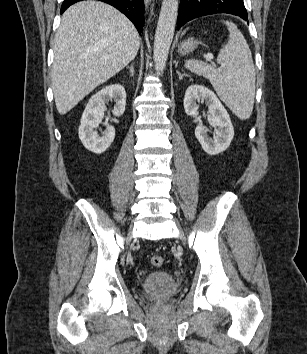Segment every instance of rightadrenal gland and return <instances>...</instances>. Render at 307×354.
I'll return each mask as SVG.
<instances>
[{"label":"right adrenal gland","mask_w":307,"mask_h":354,"mask_svg":"<svg viewBox=\"0 0 307 354\" xmlns=\"http://www.w3.org/2000/svg\"><path fill=\"white\" fill-rule=\"evenodd\" d=\"M128 68L130 69L131 76H134V63H131V65L128 66Z\"/></svg>","instance_id":"1"}]
</instances>
